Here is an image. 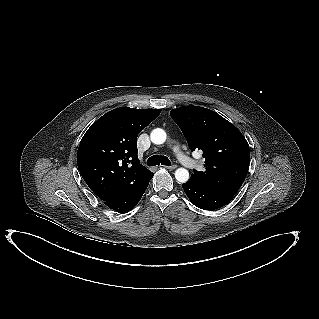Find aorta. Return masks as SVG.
Listing matches in <instances>:
<instances>
[{
  "label": "aorta",
  "instance_id": "obj_1",
  "mask_svg": "<svg viewBox=\"0 0 319 319\" xmlns=\"http://www.w3.org/2000/svg\"><path fill=\"white\" fill-rule=\"evenodd\" d=\"M166 132L161 128H156L152 130L150 134V139L152 143L160 145L166 141ZM175 178L180 183H186L189 180V172L185 168H178L175 171Z\"/></svg>",
  "mask_w": 319,
  "mask_h": 319
}]
</instances>
